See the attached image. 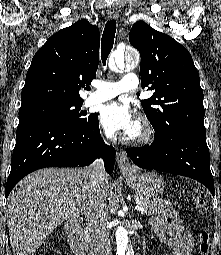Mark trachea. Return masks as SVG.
<instances>
[{"label": "trachea", "instance_id": "1", "mask_svg": "<svg viewBox=\"0 0 221 255\" xmlns=\"http://www.w3.org/2000/svg\"><path fill=\"white\" fill-rule=\"evenodd\" d=\"M115 33L116 20L113 19L106 23L102 35L101 58L104 65L106 64L107 57L113 48Z\"/></svg>", "mask_w": 221, "mask_h": 255}]
</instances>
